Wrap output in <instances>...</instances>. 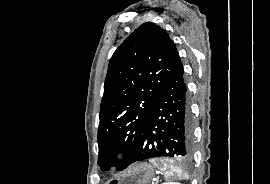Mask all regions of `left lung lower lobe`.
Listing matches in <instances>:
<instances>
[{
    "instance_id": "obj_1",
    "label": "left lung lower lobe",
    "mask_w": 270,
    "mask_h": 184,
    "mask_svg": "<svg viewBox=\"0 0 270 184\" xmlns=\"http://www.w3.org/2000/svg\"><path fill=\"white\" fill-rule=\"evenodd\" d=\"M183 74L180 62L159 94L135 153L126 167L136 161L156 157H174L183 161L191 159L193 128Z\"/></svg>"
}]
</instances>
